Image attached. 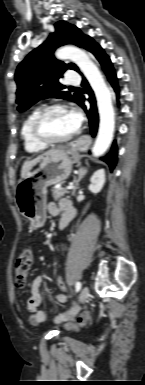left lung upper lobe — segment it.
<instances>
[{
	"label": "left lung upper lobe",
	"instance_id": "obj_1",
	"mask_svg": "<svg viewBox=\"0 0 145 385\" xmlns=\"http://www.w3.org/2000/svg\"><path fill=\"white\" fill-rule=\"evenodd\" d=\"M90 41L91 38L83 35L77 27L65 21L57 22L55 32L17 67L15 81L18 110L24 111L39 100L50 97L69 99L79 104L82 96L63 91L65 86L58 82L66 70L79 71L78 67L73 63L65 64L56 60L53 53L64 44H75L87 49Z\"/></svg>",
	"mask_w": 145,
	"mask_h": 385
}]
</instances>
